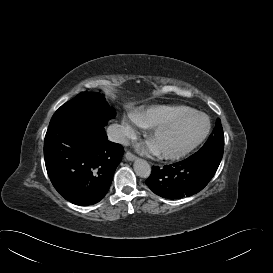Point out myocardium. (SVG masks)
Returning <instances> with one entry per match:
<instances>
[{"mask_svg":"<svg viewBox=\"0 0 273 273\" xmlns=\"http://www.w3.org/2000/svg\"><path fill=\"white\" fill-rule=\"evenodd\" d=\"M203 117L206 120V127L205 130L203 131V133L189 146L185 147L182 150L179 151H175V152H167V151H161L155 148L154 144H153V137L164 130L173 128L175 126L180 125L181 123L185 122L186 120L192 118V117ZM211 128V123H210V119L209 117L200 111H190L184 115H182L181 117L175 119L174 121L167 123V124H163V125H159L154 127L151 131H149L146 135L145 141L147 143V145L150 147V149L154 152L155 155H157L160 158H164V159H176L179 158L181 156H184L185 154L189 153L190 151H192L194 148H196L199 144H201L205 138L207 137L209 131Z\"/></svg>","mask_w":273,"mask_h":273,"instance_id":"obj_1","label":"myocardium"}]
</instances>
